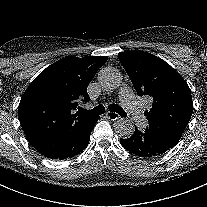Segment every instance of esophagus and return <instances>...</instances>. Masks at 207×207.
Segmentation results:
<instances>
[{"mask_svg":"<svg viewBox=\"0 0 207 207\" xmlns=\"http://www.w3.org/2000/svg\"><path fill=\"white\" fill-rule=\"evenodd\" d=\"M106 117L110 120H118L120 118L119 114H117L116 112H112V111H108L106 113Z\"/></svg>","mask_w":207,"mask_h":207,"instance_id":"obj_1","label":"esophagus"}]
</instances>
